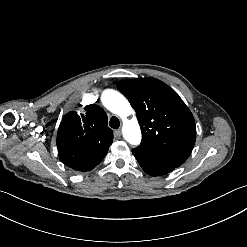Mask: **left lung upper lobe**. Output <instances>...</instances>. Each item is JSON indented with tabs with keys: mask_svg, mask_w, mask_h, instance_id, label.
<instances>
[{
	"mask_svg": "<svg viewBox=\"0 0 247 247\" xmlns=\"http://www.w3.org/2000/svg\"><path fill=\"white\" fill-rule=\"evenodd\" d=\"M117 87L137 114L142 131L137 149L176 167L183 164L194 147L196 127L179 95L155 78L123 80Z\"/></svg>",
	"mask_w": 247,
	"mask_h": 247,
	"instance_id": "5c2ea615",
	"label": "left lung upper lobe"
}]
</instances>
